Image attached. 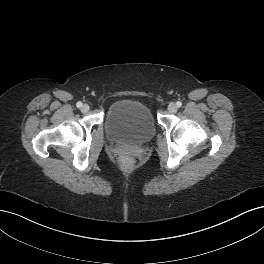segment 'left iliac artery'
Instances as JSON below:
<instances>
[{"label": "left iliac artery", "instance_id": "44dca946", "mask_svg": "<svg viewBox=\"0 0 264 264\" xmlns=\"http://www.w3.org/2000/svg\"><path fill=\"white\" fill-rule=\"evenodd\" d=\"M176 105H177V107H181L182 106V103L180 101H177L176 102Z\"/></svg>", "mask_w": 264, "mask_h": 264}]
</instances>
